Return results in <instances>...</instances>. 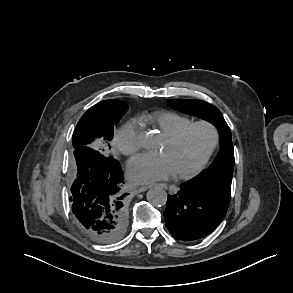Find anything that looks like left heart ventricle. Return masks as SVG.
<instances>
[{"label": "left heart ventricle", "instance_id": "b2bd125f", "mask_svg": "<svg viewBox=\"0 0 293 293\" xmlns=\"http://www.w3.org/2000/svg\"><path fill=\"white\" fill-rule=\"evenodd\" d=\"M211 141L208 128L197 126L189 130L177 143L165 140L161 154L169 157L176 173L192 169L205 154Z\"/></svg>", "mask_w": 293, "mask_h": 293}]
</instances>
